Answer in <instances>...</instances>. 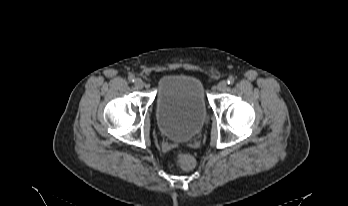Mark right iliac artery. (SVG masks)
Here are the masks:
<instances>
[{"label":"right iliac artery","mask_w":348,"mask_h":206,"mask_svg":"<svg viewBox=\"0 0 348 206\" xmlns=\"http://www.w3.org/2000/svg\"><path fill=\"white\" fill-rule=\"evenodd\" d=\"M128 80L130 82H134L135 81V76L134 75H129Z\"/></svg>","instance_id":"82829eb1"}]
</instances>
